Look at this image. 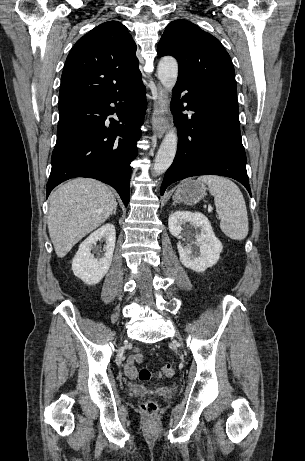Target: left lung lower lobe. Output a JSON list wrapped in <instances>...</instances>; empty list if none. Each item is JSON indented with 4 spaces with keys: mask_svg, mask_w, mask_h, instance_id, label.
<instances>
[{
    "mask_svg": "<svg viewBox=\"0 0 305 461\" xmlns=\"http://www.w3.org/2000/svg\"><path fill=\"white\" fill-rule=\"evenodd\" d=\"M187 93L178 102L180 94ZM237 88L225 82L187 84L177 81L171 111L177 112L178 148L165 173L160 194L190 176L214 174L242 183L251 195L246 155L241 141ZM183 102L187 106H183ZM191 110V118L180 111Z\"/></svg>",
    "mask_w": 305,
    "mask_h": 461,
    "instance_id": "1",
    "label": "left lung lower lobe"
}]
</instances>
